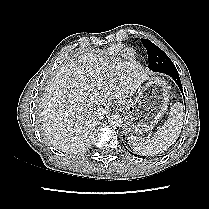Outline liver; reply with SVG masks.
<instances>
[{"label": "liver", "mask_w": 209, "mask_h": 209, "mask_svg": "<svg viewBox=\"0 0 209 209\" xmlns=\"http://www.w3.org/2000/svg\"><path fill=\"white\" fill-rule=\"evenodd\" d=\"M148 78L136 63L97 58L65 64L48 83L42 103V128L51 144L68 154L89 147L93 119L106 115L112 100L126 99Z\"/></svg>", "instance_id": "6515ba94"}]
</instances>
